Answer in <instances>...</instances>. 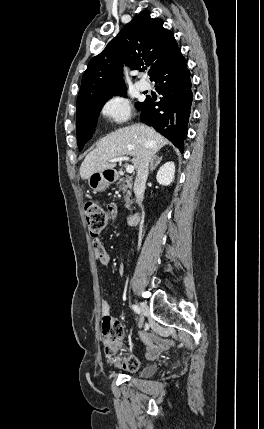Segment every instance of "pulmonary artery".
<instances>
[{
    "mask_svg": "<svg viewBox=\"0 0 264 429\" xmlns=\"http://www.w3.org/2000/svg\"><path fill=\"white\" fill-rule=\"evenodd\" d=\"M137 87L140 90L145 91V90H147L149 88V83L146 80L141 79V80L138 81Z\"/></svg>",
    "mask_w": 264,
    "mask_h": 429,
    "instance_id": "pulmonary-artery-1",
    "label": "pulmonary artery"
}]
</instances>
